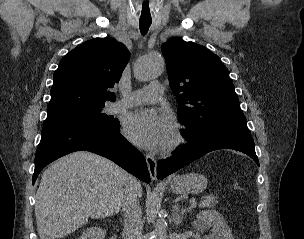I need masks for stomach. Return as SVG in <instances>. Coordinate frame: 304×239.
Here are the masks:
<instances>
[{
	"label": "stomach",
	"mask_w": 304,
	"mask_h": 239,
	"mask_svg": "<svg viewBox=\"0 0 304 239\" xmlns=\"http://www.w3.org/2000/svg\"><path fill=\"white\" fill-rule=\"evenodd\" d=\"M207 183L204 175L192 172L174 177L170 185L175 194H197L206 189Z\"/></svg>",
	"instance_id": "0dacf381"
}]
</instances>
